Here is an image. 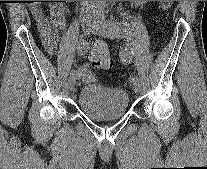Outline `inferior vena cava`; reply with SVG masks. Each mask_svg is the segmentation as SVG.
<instances>
[{
	"mask_svg": "<svg viewBox=\"0 0 207 169\" xmlns=\"http://www.w3.org/2000/svg\"><path fill=\"white\" fill-rule=\"evenodd\" d=\"M84 3H86V4H95L96 2L95 1H83Z\"/></svg>",
	"mask_w": 207,
	"mask_h": 169,
	"instance_id": "obj_1",
	"label": "inferior vena cava"
}]
</instances>
